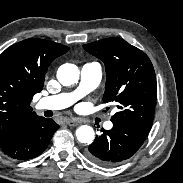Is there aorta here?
<instances>
[{
    "mask_svg": "<svg viewBox=\"0 0 183 183\" xmlns=\"http://www.w3.org/2000/svg\"><path fill=\"white\" fill-rule=\"evenodd\" d=\"M79 74L80 71L76 65L66 63L59 67L57 79L63 86H70L78 82ZM76 137L80 143L91 144L95 138V133L92 127L82 125L77 129Z\"/></svg>",
    "mask_w": 183,
    "mask_h": 183,
    "instance_id": "762f6f07",
    "label": "aorta"
}]
</instances>
